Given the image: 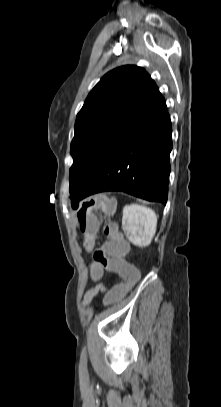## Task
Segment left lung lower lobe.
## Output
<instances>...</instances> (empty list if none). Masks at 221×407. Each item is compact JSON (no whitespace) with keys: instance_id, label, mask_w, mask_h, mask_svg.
Returning a JSON list of instances; mask_svg holds the SVG:
<instances>
[{"instance_id":"1","label":"left lung lower lobe","mask_w":221,"mask_h":407,"mask_svg":"<svg viewBox=\"0 0 221 407\" xmlns=\"http://www.w3.org/2000/svg\"><path fill=\"white\" fill-rule=\"evenodd\" d=\"M172 127L159 89L151 94L119 137L93 179L72 199L105 191H123L166 204L172 150Z\"/></svg>"}]
</instances>
